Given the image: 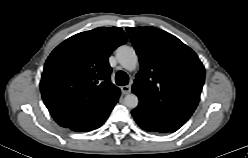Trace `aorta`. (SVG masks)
Here are the masks:
<instances>
[{"label": "aorta", "mask_w": 248, "mask_h": 158, "mask_svg": "<svg viewBox=\"0 0 248 158\" xmlns=\"http://www.w3.org/2000/svg\"><path fill=\"white\" fill-rule=\"evenodd\" d=\"M116 57L120 65L128 71H133L138 65V57L135 50L127 45H122L116 50ZM139 99L133 94H127L124 98V104L130 109L138 106Z\"/></svg>", "instance_id": "1"}]
</instances>
